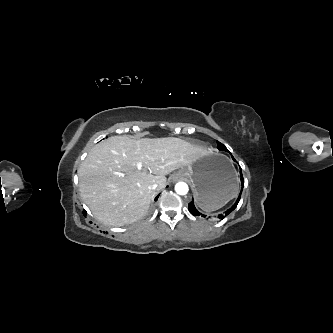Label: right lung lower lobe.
<instances>
[{
	"instance_id": "1",
	"label": "right lung lower lobe",
	"mask_w": 333,
	"mask_h": 333,
	"mask_svg": "<svg viewBox=\"0 0 333 333\" xmlns=\"http://www.w3.org/2000/svg\"><path fill=\"white\" fill-rule=\"evenodd\" d=\"M158 197H159V195L155 198V200H157L158 199Z\"/></svg>"
}]
</instances>
